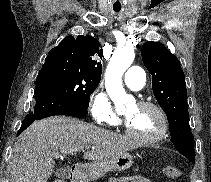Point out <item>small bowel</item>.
Wrapping results in <instances>:
<instances>
[{"label":"small bowel","instance_id":"1","mask_svg":"<svg viewBox=\"0 0 211 182\" xmlns=\"http://www.w3.org/2000/svg\"><path fill=\"white\" fill-rule=\"evenodd\" d=\"M110 182H151L142 176L114 177Z\"/></svg>","mask_w":211,"mask_h":182}]
</instances>
